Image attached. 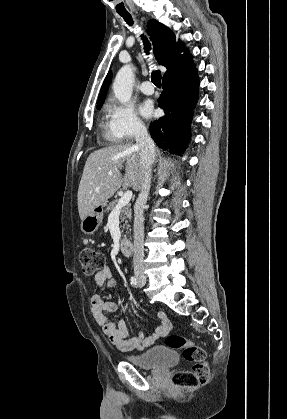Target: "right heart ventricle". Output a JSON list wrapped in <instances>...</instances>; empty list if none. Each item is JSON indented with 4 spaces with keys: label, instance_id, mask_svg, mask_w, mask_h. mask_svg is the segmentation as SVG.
<instances>
[{
    "label": "right heart ventricle",
    "instance_id": "obj_1",
    "mask_svg": "<svg viewBox=\"0 0 287 419\" xmlns=\"http://www.w3.org/2000/svg\"><path fill=\"white\" fill-rule=\"evenodd\" d=\"M107 112H108V108L105 109L104 114L102 116L101 128H102L105 139L111 143H115V142H118L119 139L113 134L111 130V122H110V118L107 115Z\"/></svg>",
    "mask_w": 287,
    "mask_h": 419
}]
</instances>
